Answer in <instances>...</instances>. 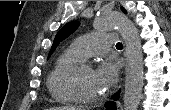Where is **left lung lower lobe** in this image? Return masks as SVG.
I'll return each mask as SVG.
<instances>
[{
	"instance_id": "1",
	"label": "left lung lower lobe",
	"mask_w": 171,
	"mask_h": 110,
	"mask_svg": "<svg viewBox=\"0 0 171 110\" xmlns=\"http://www.w3.org/2000/svg\"><path fill=\"white\" fill-rule=\"evenodd\" d=\"M119 98V93L117 95L114 96V100H117Z\"/></svg>"
}]
</instances>
